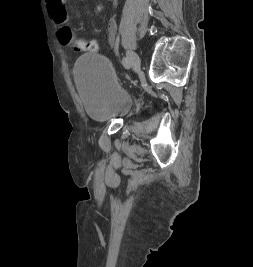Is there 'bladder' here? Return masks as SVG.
<instances>
[{
	"label": "bladder",
	"mask_w": 253,
	"mask_h": 267,
	"mask_svg": "<svg viewBox=\"0 0 253 267\" xmlns=\"http://www.w3.org/2000/svg\"><path fill=\"white\" fill-rule=\"evenodd\" d=\"M73 72L90 119L108 122L130 107L129 93L119 84L111 63L104 56L96 53L81 55Z\"/></svg>",
	"instance_id": "31cf9c89"
}]
</instances>
